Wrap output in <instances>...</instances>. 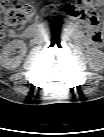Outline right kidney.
Returning <instances> with one entry per match:
<instances>
[{
  "instance_id": "right-kidney-1",
  "label": "right kidney",
  "mask_w": 104,
  "mask_h": 137,
  "mask_svg": "<svg viewBox=\"0 0 104 137\" xmlns=\"http://www.w3.org/2000/svg\"><path fill=\"white\" fill-rule=\"evenodd\" d=\"M19 49V55L12 56L15 54V50ZM26 53V44L22 40H12L7 43L1 50L0 53V65L6 69H15L17 68L24 55Z\"/></svg>"
}]
</instances>
